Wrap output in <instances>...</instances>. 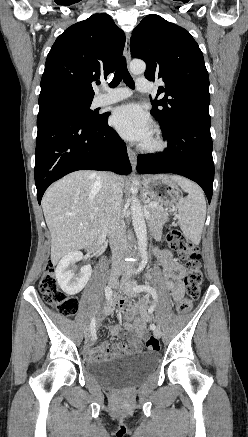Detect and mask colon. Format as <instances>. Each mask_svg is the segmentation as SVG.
<instances>
[{
    "label": "colon",
    "instance_id": "obj_1",
    "mask_svg": "<svg viewBox=\"0 0 248 437\" xmlns=\"http://www.w3.org/2000/svg\"><path fill=\"white\" fill-rule=\"evenodd\" d=\"M168 241L185 261L187 274L185 277L186 294L177 302V311L187 313L193 302L200 296L203 275L200 264L199 249L179 231H172ZM40 292L45 301L53 306L60 314L73 317L78 310V300L63 292L55 278V266L52 263L46 265L40 280ZM160 343L157 338L149 337L146 341L148 351H158Z\"/></svg>",
    "mask_w": 248,
    "mask_h": 437
}]
</instances>
